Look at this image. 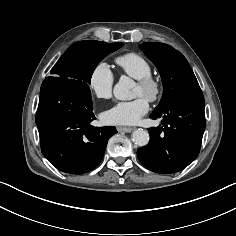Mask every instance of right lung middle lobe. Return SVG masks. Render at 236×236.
<instances>
[{"label":"right lung middle lobe","instance_id":"1","mask_svg":"<svg viewBox=\"0 0 236 236\" xmlns=\"http://www.w3.org/2000/svg\"><path fill=\"white\" fill-rule=\"evenodd\" d=\"M123 43L107 44L101 41L85 40L71 45L51 70L52 78L67 79L70 84L84 93L90 94L91 76L98 63L111 52L122 47Z\"/></svg>","mask_w":236,"mask_h":236}]
</instances>
